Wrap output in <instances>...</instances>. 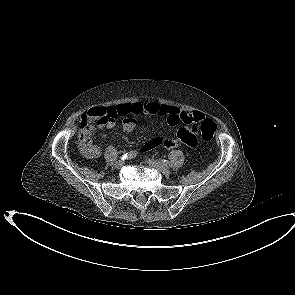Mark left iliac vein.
I'll use <instances>...</instances> for the list:
<instances>
[{
    "label": "left iliac vein",
    "instance_id": "obj_1",
    "mask_svg": "<svg viewBox=\"0 0 295 295\" xmlns=\"http://www.w3.org/2000/svg\"><path fill=\"white\" fill-rule=\"evenodd\" d=\"M146 163L153 167V168H156L157 170H159L160 172H162L163 174L165 175H169L170 174V169L165 166V165H162L161 163L159 162H156L155 160L153 159H147L146 160Z\"/></svg>",
    "mask_w": 295,
    "mask_h": 295
}]
</instances>
